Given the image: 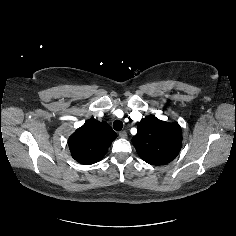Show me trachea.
Wrapping results in <instances>:
<instances>
[{"instance_id": "1", "label": "trachea", "mask_w": 236, "mask_h": 236, "mask_svg": "<svg viewBox=\"0 0 236 236\" xmlns=\"http://www.w3.org/2000/svg\"><path fill=\"white\" fill-rule=\"evenodd\" d=\"M113 128L116 130V131H120L122 130L123 128V123L120 121V120H115L113 122Z\"/></svg>"}]
</instances>
